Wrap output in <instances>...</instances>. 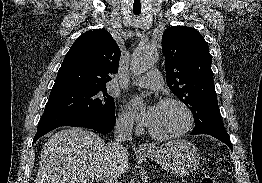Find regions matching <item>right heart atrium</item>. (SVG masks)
I'll return each mask as SVG.
<instances>
[{
  "label": "right heart atrium",
  "instance_id": "right-heart-atrium-1",
  "mask_svg": "<svg viewBox=\"0 0 262 183\" xmlns=\"http://www.w3.org/2000/svg\"><path fill=\"white\" fill-rule=\"evenodd\" d=\"M117 127L124 132H131L137 126L133 117L129 113L123 111L118 116Z\"/></svg>",
  "mask_w": 262,
  "mask_h": 183
}]
</instances>
